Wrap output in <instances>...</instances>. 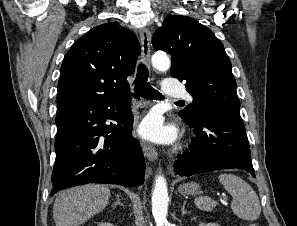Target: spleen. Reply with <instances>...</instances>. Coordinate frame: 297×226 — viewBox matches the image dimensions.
<instances>
[{"instance_id": "1", "label": "spleen", "mask_w": 297, "mask_h": 226, "mask_svg": "<svg viewBox=\"0 0 297 226\" xmlns=\"http://www.w3.org/2000/svg\"><path fill=\"white\" fill-rule=\"evenodd\" d=\"M220 183L233 196L231 209L239 218L246 221L258 219L261 213L259 198L254 189L242 178L223 173L218 176ZM195 205L203 211H211L217 202L210 197L195 199Z\"/></svg>"}]
</instances>
